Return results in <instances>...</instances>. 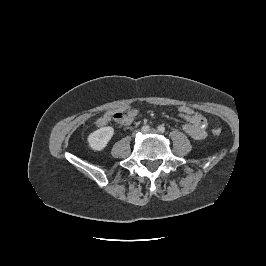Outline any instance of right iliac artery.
<instances>
[{"instance_id": "1", "label": "right iliac artery", "mask_w": 266, "mask_h": 266, "mask_svg": "<svg viewBox=\"0 0 266 266\" xmlns=\"http://www.w3.org/2000/svg\"><path fill=\"white\" fill-rule=\"evenodd\" d=\"M141 130H142V132L145 133V132H148L150 130V127L148 125H144Z\"/></svg>"}]
</instances>
